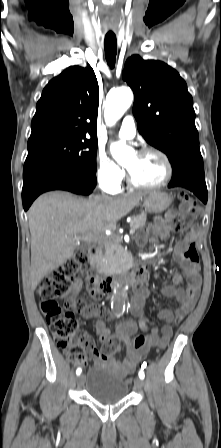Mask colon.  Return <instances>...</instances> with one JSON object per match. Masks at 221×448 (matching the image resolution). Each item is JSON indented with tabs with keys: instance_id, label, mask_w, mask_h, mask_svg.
Returning <instances> with one entry per match:
<instances>
[{
	"instance_id": "5ec220e1",
	"label": "colon",
	"mask_w": 221,
	"mask_h": 448,
	"mask_svg": "<svg viewBox=\"0 0 221 448\" xmlns=\"http://www.w3.org/2000/svg\"><path fill=\"white\" fill-rule=\"evenodd\" d=\"M181 222L188 224L197 214V208L192 197L181 192L179 194ZM185 259L193 264L199 263L200 257L195 244H190L184 252ZM89 255L86 251H76L59 268L51 271L42 278L37 288L40 307L45 314L54 341L67 358L79 365H85L90 354L85 356V349L93 347L92 340L87 336L78 335L79 323L70 312H66L58 304V300L69 295L76 286L93 278L88 269ZM176 322H179L177 320ZM146 337L139 335L135 338L136 348L142 347Z\"/></svg>"
}]
</instances>
